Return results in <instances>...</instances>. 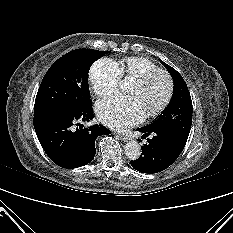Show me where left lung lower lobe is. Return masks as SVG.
<instances>
[{
  "label": "left lung lower lobe",
  "instance_id": "0a47b994",
  "mask_svg": "<svg viewBox=\"0 0 233 233\" xmlns=\"http://www.w3.org/2000/svg\"><path fill=\"white\" fill-rule=\"evenodd\" d=\"M147 144L141 146L142 153L137 160H132V167L142 173H157L169 167L180 155L185 147L186 141L177 136L173 131L163 127L138 128Z\"/></svg>",
  "mask_w": 233,
  "mask_h": 233
}]
</instances>
